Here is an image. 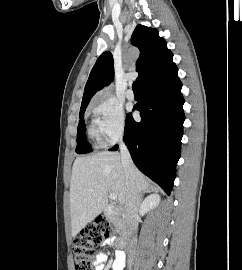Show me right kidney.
Instances as JSON below:
<instances>
[{
	"mask_svg": "<svg viewBox=\"0 0 242 270\" xmlns=\"http://www.w3.org/2000/svg\"><path fill=\"white\" fill-rule=\"evenodd\" d=\"M160 202V196L158 194L149 195L142 203L140 207V213L146 214L153 208H155Z\"/></svg>",
	"mask_w": 242,
	"mask_h": 270,
	"instance_id": "right-kidney-1",
	"label": "right kidney"
}]
</instances>
